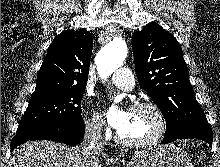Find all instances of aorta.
<instances>
[{
	"label": "aorta",
	"instance_id": "aorta-1",
	"mask_svg": "<svg viewBox=\"0 0 220 167\" xmlns=\"http://www.w3.org/2000/svg\"><path fill=\"white\" fill-rule=\"evenodd\" d=\"M127 52V45L121 38H115L106 44L95 59L100 77L107 79L115 70L121 67L127 57Z\"/></svg>",
	"mask_w": 220,
	"mask_h": 167
}]
</instances>
